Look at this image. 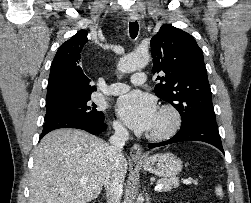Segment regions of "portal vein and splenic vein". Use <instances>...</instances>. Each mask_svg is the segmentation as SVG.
I'll return each mask as SVG.
<instances>
[{
    "label": "portal vein and splenic vein",
    "mask_w": 251,
    "mask_h": 203,
    "mask_svg": "<svg viewBox=\"0 0 251 203\" xmlns=\"http://www.w3.org/2000/svg\"><path fill=\"white\" fill-rule=\"evenodd\" d=\"M184 184H191V181L189 180H183ZM164 187L163 184H157L154 188L155 191H160Z\"/></svg>",
    "instance_id": "1"
}]
</instances>
